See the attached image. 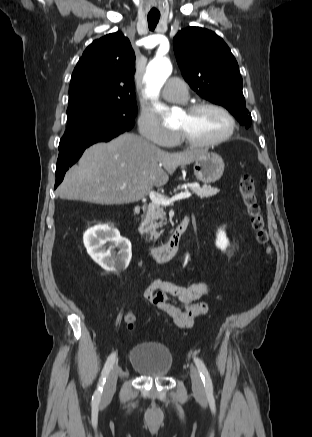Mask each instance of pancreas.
<instances>
[{"label": "pancreas", "mask_w": 312, "mask_h": 437, "mask_svg": "<svg viewBox=\"0 0 312 437\" xmlns=\"http://www.w3.org/2000/svg\"><path fill=\"white\" fill-rule=\"evenodd\" d=\"M180 186H178L179 189ZM191 190L199 198H209L216 195L220 190L212 188L211 186H195L191 187ZM166 213L163 210V205L158 203H150L145 214L144 221L141 225L142 232L150 234L154 239H158L163 233V230L158 231L164 225H166Z\"/></svg>", "instance_id": "obj_1"}]
</instances>
